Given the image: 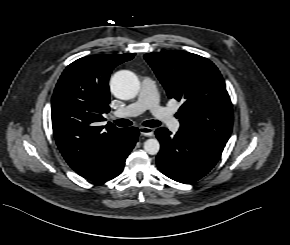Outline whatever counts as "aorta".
<instances>
[{"label": "aorta", "mask_w": 290, "mask_h": 245, "mask_svg": "<svg viewBox=\"0 0 290 245\" xmlns=\"http://www.w3.org/2000/svg\"><path fill=\"white\" fill-rule=\"evenodd\" d=\"M111 91L119 99L128 100L136 97L139 92L140 83L137 76L127 70L114 74L110 81ZM144 150L150 155H156L160 150V143L157 139L151 138L144 142Z\"/></svg>", "instance_id": "1"}]
</instances>
